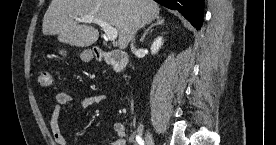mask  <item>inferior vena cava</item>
<instances>
[{"label": "inferior vena cava", "instance_id": "inferior-vena-cava-1", "mask_svg": "<svg viewBox=\"0 0 276 145\" xmlns=\"http://www.w3.org/2000/svg\"><path fill=\"white\" fill-rule=\"evenodd\" d=\"M131 50L134 52L135 51V47L133 46V44L131 45Z\"/></svg>", "mask_w": 276, "mask_h": 145}]
</instances>
